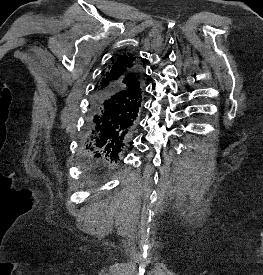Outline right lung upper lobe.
Returning a JSON list of instances; mask_svg holds the SVG:
<instances>
[{"label": "right lung upper lobe", "instance_id": "cb5924a9", "mask_svg": "<svg viewBox=\"0 0 263 275\" xmlns=\"http://www.w3.org/2000/svg\"><path fill=\"white\" fill-rule=\"evenodd\" d=\"M137 66L136 58L132 54L119 55L112 60L107 71L104 72L95 93L113 89H126L129 93L127 107L131 113L137 114L142 100L140 80L132 74Z\"/></svg>", "mask_w": 263, "mask_h": 275}]
</instances>
